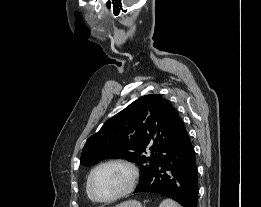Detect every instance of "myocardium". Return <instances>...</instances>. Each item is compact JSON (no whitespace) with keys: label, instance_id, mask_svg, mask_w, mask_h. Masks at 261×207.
<instances>
[{"label":"myocardium","instance_id":"obj_1","mask_svg":"<svg viewBox=\"0 0 261 207\" xmlns=\"http://www.w3.org/2000/svg\"><path fill=\"white\" fill-rule=\"evenodd\" d=\"M108 165H120V166H123L125 167L126 169H128L129 173H130V180H129V183L128 185L119 193H117L116 195L112 196V197H109V198H106V199H102V198H99L94 190H93V178H94V175L95 173L105 167V166H108ZM138 177H139V172H138V169L137 167L127 161V160H123V159H111V160H107V161H104L100 164H98L89 174V177H88V180H87V188H88V192H89V195L90 197L92 198L93 201L97 202V203H103V204H106V203H111V202H114L126 195H128L129 193H131L136 184H137V181H138Z\"/></svg>","mask_w":261,"mask_h":207}]
</instances>
